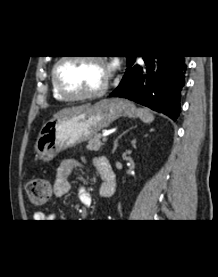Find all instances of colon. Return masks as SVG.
<instances>
[{"instance_id":"colon-1","label":"colon","mask_w":218,"mask_h":277,"mask_svg":"<svg viewBox=\"0 0 218 277\" xmlns=\"http://www.w3.org/2000/svg\"><path fill=\"white\" fill-rule=\"evenodd\" d=\"M26 191L29 202L35 206L45 205L52 195L51 183L40 177H32L27 181Z\"/></svg>"}]
</instances>
